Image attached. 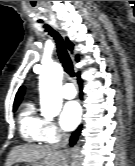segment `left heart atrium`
<instances>
[{
    "instance_id": "obj_1",
    "label": "left heart atrium",
    "mask_w": 135,
    "mask_h": 166,
    "mask_svg": "<svg viewBox=\"0 0 135 166\" xmlns=\"http://www.w3.org/2000/svg\"><path fill=\"white\" fill-rule=\"evenodd\" d=\"M80 116L81 109L79 104L76 101L67 102L60 114L61 127L66 131L74 129L79 122Z\"/></svg>"
}]
</instances>
